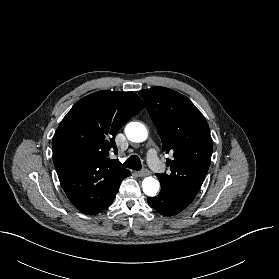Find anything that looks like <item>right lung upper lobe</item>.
Wrapping results in <instances>:
<instances>
[{
    "mask_svg": "<svg viewBox=\"0 0 279 279\" xmlns=\"http://www.w3.org/2000/svg\"><path fill=\"white\" fill-rule=\"evenodd\" d=\"M143 108L133 92L99 91L79 100L60 123L52 140L53 162L67 197L81 212L101 209L130 175L109 152L117 150L118 130Z\"/></svg>",
    "mask_w": 279,
    "mask_h": 279,
    "instance_id": "obj_1",
    "label": "right lung upper lobe"
}]
</instances>
